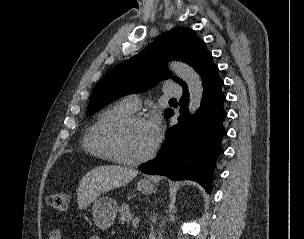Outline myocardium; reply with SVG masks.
Wrapping results in <instances>:
<instances>
[{
	"label": "myocardium",
	"mask_w": 304,
	"mask_h": 239,
	"mask_svg": "<svg viewBox=\"0 0 304 239\" xmlns=\"http://www.w3.org/2000/svg\"><path fill=\"white\" fill-rule=\"evenodd\" d=\"M136 122H146V118L139 113L126 114L115 120L106 131V140L108 146L114 156L115 161L118 163L125 165H138L151 159L155 153L157 141H155L151 148L142 156L130 158L122 154L119 145L121 133L126 127Z\"/></svg>",
	"instance_id": "f54148a6"
}]
</instances>
